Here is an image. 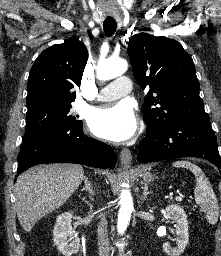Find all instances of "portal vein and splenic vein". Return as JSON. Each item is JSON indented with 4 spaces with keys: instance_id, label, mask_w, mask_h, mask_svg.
<instances>
[{
    "instance_id": "obj_1",
    "label": "portal vein and splenic vein",
    "mask_w": 221,
    "mask_h": 256,
    "mask_svg": "<svg viewBox=\"0 0 221 256\" xmlns=\"http://www.w3.org/2000/svg\"><path fill=\"white\" fill-rule=\"evenodd\" d=\"M175 200H177V201H182V200H183V197H182V196H176V197H175Z\"/></svg>"
}]
</instances>
